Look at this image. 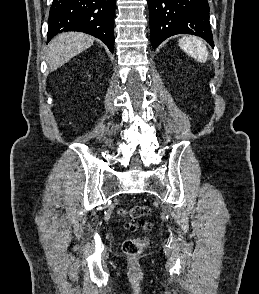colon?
I'll return each instance as SVG.
<instances>
[{
  "mask_svg": "<svg viewBox=\"0 0 259 294\" xmlns=\"http://www.w3.org/2000/svg\"><path fill=\"white\" fill-rule=\"evenodd\" d=\"M119 214L122 216H129L134 220H140L139 222L132 221L126 226L131 230H149L150 225L145 223L142 219L150 215V208L142 205H135L128 209H120ZM149 245L148 238L134 237L126 239L122 244V250L129 256H137L141 254Z\"/></svg>",
  "mask_w": 259,
  "mask_h": 294,
  "instance_id": "obj_1",
  "label": "colon"
}]
</instances>
